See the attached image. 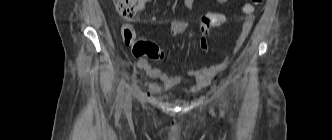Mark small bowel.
I'll return each instance as SVG.
<instances>
[{
    "label": "small bowel",
    "instance_id": "c3829d8e",
    "mask_svg": "<svg viewBox=\"0 0 332 140\" xmlns=\"http://www.w3.org/2000/svg\"><path fill=\"white\" fill-rule=\"evenodd\" d=\"M193 1L194 0H186L185 4L188 10L193 9ZM220 4H225L228 0H216ZM254 22V18L252 16H248L242 23L240 34L237 38L235 46L230 54H227L223 61L219 64L204 66L198 70H190L183 74L179 75H169L164 73L158 68L152 67L150 62L146 58H142L138 61V67L143 70L148 78L158 79L162 82V85H159L155 82L149 81L147 86L151 93L161 94L163 91H169L172 88L179 85L184 79L188 77H192L195 79L196 84L191 88V92H196L201 88L210 84L211 80L221 71H223L227 65L229 64L231 57L235 54L239 48L242 46L247 36L250 33ZM199 47L203 51H207L209 49V42L206 36H202L199 40ZM163 98L167 99L168 96H163Z\"/></svg>",
    "mask_w": 332,
    "mask_h": 140
}]
</instances>
